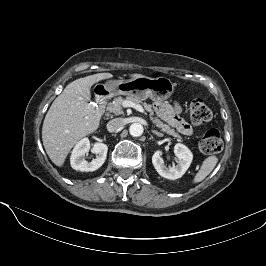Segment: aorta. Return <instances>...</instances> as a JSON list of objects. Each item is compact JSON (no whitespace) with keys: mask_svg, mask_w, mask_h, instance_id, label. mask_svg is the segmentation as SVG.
<instances>
[{"mask_svg":"<svg viewBox=\"0 0 266 266\" xmlns=\"http://www.w3.org/2000/svg\"><path fill=\"white\" fill-rule=\"evenodd\" d=\"M143 126L140 123H133L130 125L129 132L133 137H139L143 134Z\"/></svg>","mask_w":266,"mask_h":266,"instance_id":"aorta-1","label":"aorta"}]
</instances>
